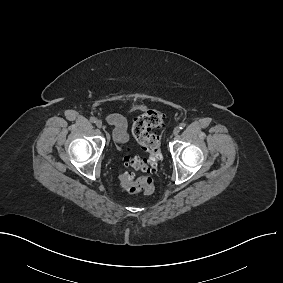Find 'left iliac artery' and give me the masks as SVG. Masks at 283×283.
Returning a JSON list of instances; mask_svg holds the SVG:
<instances>
[{"label": "left iliac artery", "mask_w": 283, "mask_h": 283, "mask_svg": "<svg viewBox=\"0 0 283 283\" xmlns=\"http://www.w3.org/2000/svg\"><path fill=\"white\" fill-rule=\"evenodd\" d=\"M185 126H186V124H185V123H181V124L179 125V128H180V129H184V128H185Z\"/></svg>", "instance_id": "1"}]
</instances>
